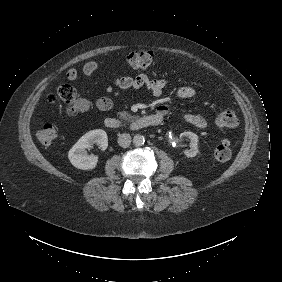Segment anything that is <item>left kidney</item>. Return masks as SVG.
<instances>
[{
    "mask_svg": "<svg viewBox=\"0 0 282 282\" xmlns=\"http://www.w3.org/2000/svg\"><path fill=\"white\" fill-rule=\"evenodd\" d=\"M189 138L190 141V149L184 152L185 157L187 158H194L197 156L198 153V137L193 132H183L180 134V138Z\"/></svg>",
    "mask_w": 282,
    "mask_h": 282,
    "instance_id": "5707ae66",
    "label": "left kidney"
}]
</instances>
